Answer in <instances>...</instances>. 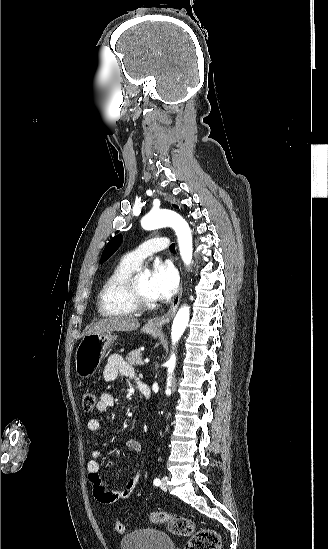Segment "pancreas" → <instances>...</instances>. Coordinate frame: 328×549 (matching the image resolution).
I'll return each instance as SVG.
<instances>
[{
  "instance_id": "cf45deb5",
  "label": "pancreas",
  "mask_w": 328,
  "mask_h": 549,
  "mask_svg": "<svg viewBox=\"0 0 328 549\" xmlns=\"http://www.w3.org/2000/svg\"><path fill=\"white\" fill-rule=\"evenodd\" d=\"M126 361H128L130 365H144L141 351H131V353H128Z\"/></svg>"
}]
</instances>
